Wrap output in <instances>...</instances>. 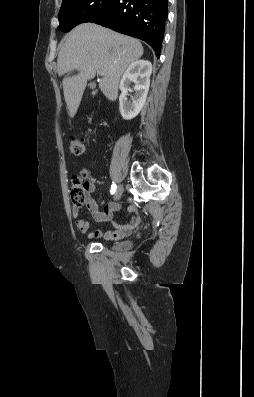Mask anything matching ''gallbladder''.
Instances as JSON below:
<instances>
[{
  "label": "gallbladder",
  "instance_id": "1",
  "mask_svg": "<svg viewBox=\"0 0 254 397\" xmlns=\"http://www.w3.org/2000/svg\"><path fill=\"white\" fill-rule=\"evenodd\" d=\"M90 88L94 89L95 88V84L94 83L90 84Z\"/></svg>",
  "mask_w": 254,
  "mask_h": 397
}]
</instances>
